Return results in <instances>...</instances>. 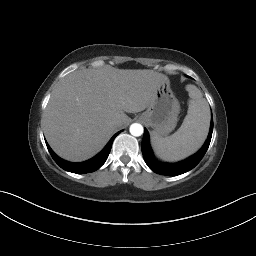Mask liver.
Returning <instances> with one entry per match:
<instances>
[{"label": "liver", "mask_w": 256, "mask_h": 256, "mask_svg": "<svg viewBox=\"0 0 256 256\" xmlns=\"http://www.w3.org/2000/svg\"><path fill=\"white\" fill-rule=\"evenodd\" d=\"M166 78L153 70L110 66L68 74L52 91L43 115L49 145L68 161L93 157L129 122L125 112L146 109Z\"/></svg>", "instance_id": "obj_1"}]
</instances>
